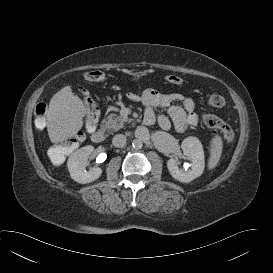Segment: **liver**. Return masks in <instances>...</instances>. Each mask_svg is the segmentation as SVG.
<instances>
[{
  "label": "liver",
  "instance_id": "1",
  "mask_svg": "<svg viewBox=\"0 0 273 273\" xmlns=\"http://www.w3.org/2000/svg\"><path fill=\"white\" fill-rule=\"evenodd\" d=\"M86 109L83 101L70 87H64L50 100L46 115L47 131L52 143L72 138L83 126Z\"/></svg>",
  "mask_w": 273,
  "mask_h": 273
}]
</instances>
